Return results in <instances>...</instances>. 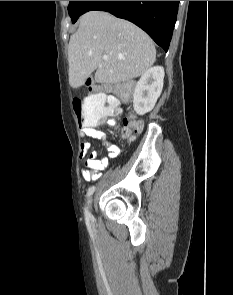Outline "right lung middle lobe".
Returning <instances> with one entry per match:
<instances>
[{"label": "right lung middle lobe", "mask_w": 233, "mask_h": 295, "mask_svg": "<svg viewBox=\"0 0 233 295\" xmlns=\"http://www.w3.org/2000/svg\"><path fill=\"white\" fill-rule=\"evenodd\" d=\"M86 1H70L68 6V13L72 19V23H75L79 16H81V12Z\"/></svg>", "instance_id": "obj_1"}]
</instances>
